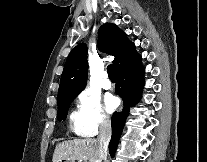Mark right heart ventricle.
Here are the masks:
<instances>
[{"instance_id": "right-heart-ventricle-1", "label": "right heart ventricle", "mask_w": 207, "mask_h": 162, "mask_svg": "<svg viewBox=\"0 0 207 162\" xmlns=\"http://www.w3.org/2000/svg\"><path fill=\"white\" fill-rule=\"evenodd\" d=\"M70 127L73 131L78 132V127H79V124H78V114L77 112H72L71 115H70Z\"/></svg>"}]
</instances>
